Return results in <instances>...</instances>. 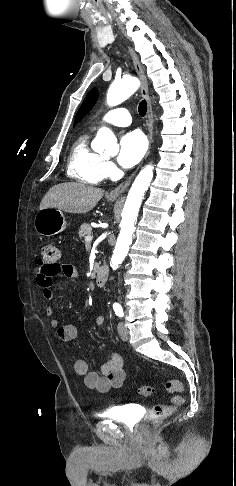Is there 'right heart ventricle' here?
I'll return each instance as SVG.
<instances>
[{
	"label": "right heart ventricle",
	"instance_id": "obj_1",
	"mask_svg": "<svg viewBox=\"0 0 236 486\" xmlns=\"http://www.w3.org/2000/svg\"><path fill=\"white\" fill-rule=\"evenodd\" d=\"M104 159L89 146V136L81 135L72 145L68 162L69 177L85 184L96 185L104 178Z\"/></svg>",
	"mask_w": 236,
	"mask_h": 486
}]
</instances>
